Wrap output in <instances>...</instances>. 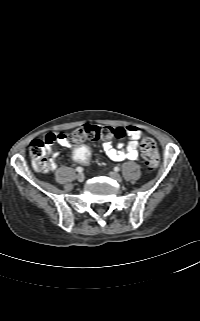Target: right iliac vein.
<instances>
[{
	"mask_svg": "<svg viewBox=\"0 0 200 321\" xmlns=\"http://www.w3.org/2000/svg\"><path fill=\"white\" fill-rule=\"evenodd\" d=\"M76 179H77L79 182H83L84 179H85V176H84V174L79 173V174H77Z\"/></svg>",
	"mask_w": 200,
	"mask_h": 321,
	"instance_id": "1",
	"label": "right iliac vein"
}]
</instances>
